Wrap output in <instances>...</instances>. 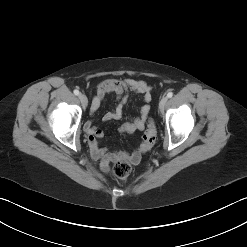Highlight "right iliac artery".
<instances>
[{
  "label": "right iliac artery",
  "instance_id": "1",
  "mask_svg": "<svg viewBox=\"0 0 247 247\" xmlns=\"http://www.w3.org/2000/svg\"><path fill=\"white\" fill-rule=\"evenodd\" d=\"M74 94L75 95H79V91L78 90H74Z\"/></svg>",
  "mask_w": 247,
  "mask_h": 247
}]
</instances>
